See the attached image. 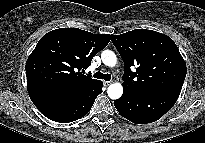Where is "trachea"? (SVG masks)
<instances>
[{
	"mask_svg": "<svg viewBox=\"0 0 205 143\" xmlns=\"http://www.w3.org/2000/svg\"><path fill=\"white\" fill-rule=\"evenodd\" d=\"M94 78H97V79H104L105 81H110L111 79V75L110 74H103L101 72H96L94 75Z\"/></svg>",
	"mask_w": 205,
	"mask_h": 143,
	"instance_id": "trachea-1",
	"label": "trachea"
}]
</instances>
